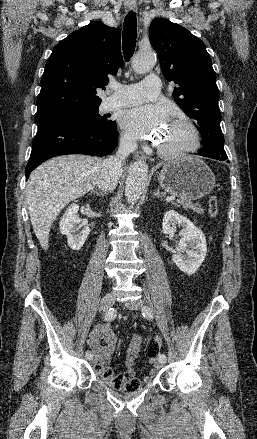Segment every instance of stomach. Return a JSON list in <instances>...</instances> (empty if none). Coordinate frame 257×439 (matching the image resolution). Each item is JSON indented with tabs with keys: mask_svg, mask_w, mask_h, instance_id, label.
Returning a JSON list of instances; mask_svg holds the SVG:
<instances>
[{
	"mask_svg": "<svg viewBox=\"0 0 257 439\" xmlns=\"http://www.w3.org/2000/svg\"><path fill=\"white\" fill-rule=\"evenodd\" d=\"M158 180L164 190L189 201L203 198L215 186L213 172L195 156L164 163Z\"/></svg>",
	"mask_w": 257,
	"mask_h": 439,
	"instance_id": "0dacf381",
	"label": "stomach"
}]
</instances>
